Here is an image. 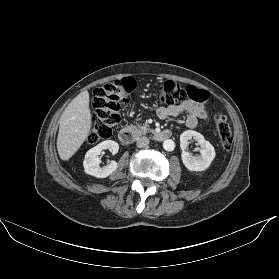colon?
Returning a JSON list of instances; mask_svg holds the SVG:
<instances>
[{
  "mask_svg": "<svg viewBox=\"0 0 279 279\" xmlns=\"http://www.w3.org/2000/svg\"><path fill=\"white\" fill-rule=\"evenodd\" d=\"M135 87L134 79L122 78L94 90L93 123L88 134L89 143L95 144L112 136L115 128L121 122L120 111L128 103V96ZM159 98L162 104L173 106L187 99L206 103L210 95L207 91L194 86L182 87L174 81H166L161 86ZM214 122L222 147L230 150L234 143V136L226 116L218 113L214 116Z\"/></svg>",
  "mask_w": 279,
  "mask_h": 279,
  "instance_id": "5ec220e1",
  "label": "colon"
}]
</instances>
